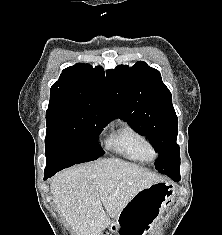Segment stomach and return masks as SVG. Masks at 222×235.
<instances>
[{
	"mask_svg": "<svg viewBox=\"0 0 222 235\" xmlns=\"http://www.w3.org/2000/svg\"><path fill=\"white\" fill-rule=\"evenodd\" d=\"M175 194L174 186L165 181L141 190L111 223L110 232L115 235H147L172 204Z\"/></svg>",
	"mask_w": 222,
	"mask_h": 235,
	"instance_id": "0dacf381",
	"label": "stomach"
}]
</instances>
